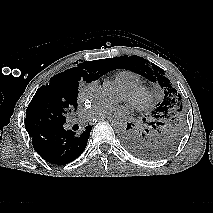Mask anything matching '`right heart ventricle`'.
Segmentation results:
<instances>
[{
	"mask_svg": "<svg viewBox=\"0 0 213 213\" xmlns=\"http://www.w3.org/2000/svg\"><path fill=\"white\" fill-rule=\"evenodd\" d=\"M115 82L121 87H132L141 83V77L130 70H119L114 74Z\"/></svg>",
	"mask_w": 213,
	"mask_h": 213,
	"instance_id": "right-heart-ventricle-1",
	"label": "right heart ventricle"
}]
</instances>
